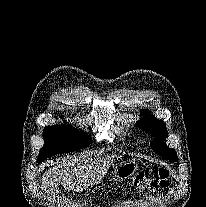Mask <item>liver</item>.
Wrapping results in <instances>:
<instances>
[{
    "instance_id": "liver-1",
    "label": "liver",
    "mask_w": 206,
    "mask_h": 207,
    "mask_svg": "<svg viewBox=\"0 0 206 207\" xmlns=\"http://www.w3.org/2000/svg\"><path fill=\"white\" fill-rule=\"evenodd\" d=\"M108 163L106 159L98 161L82 156L63 158L61 164L50 168L43 174V188L50 195L58 193L59 183L67 190H83L104 176Z\"/></svg>"
}]
</instances>
